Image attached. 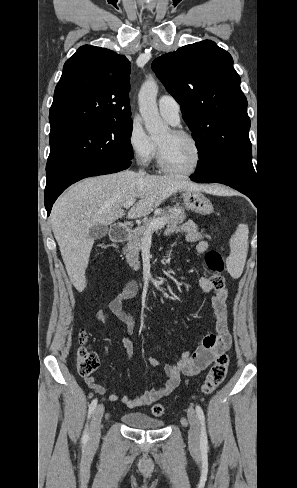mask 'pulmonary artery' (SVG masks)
Here are the masks:
<instances>
[{"mask_svg":"<svg viewBox=\"0 0 297 488\" xmlns=\"http://www.w3.org/2000/svg\"><path fill=\"white\" fill-rule=\"evenodd\" d=\"M161 115L172 125L179 123L180 105L170 95H163L158 100Z\"/></svg>","mask_w":297,"mask_h":488,"instance_id":"obj_1","label":"pulmonary artery"}]
</instances>
